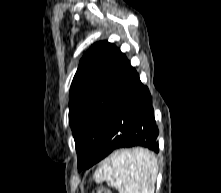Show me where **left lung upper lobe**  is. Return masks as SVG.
<instances>
[{
  "instance_id": "1",
  "label": "left lung upper lobe",
  "mask_w": 221,
  "mask_h": 193,
  "mask_svg": "<svg viewBox=\"0 0 221 193\" xmlns=\"http://www.w3.org/2000/svg\"><path fill=\"white\" fill-rule=\"evenodd\" d=\"M130 67L126 56L107 41L92 45L80 61L69 98L79 171L108 131L113 104Z\"/></svg>"
}]
</instances>
